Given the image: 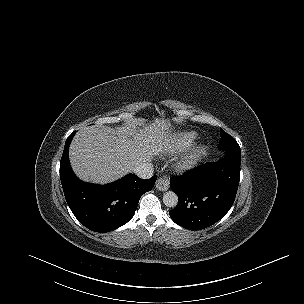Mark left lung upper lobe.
Here are the masks:
<instances>
[{"instance_id":"5c2ea615","label":"left lung upper lobe","mask_w":304,"mask_h":304,"mask_svg":"<svg viewBox=\"0 0 304 304\" xmlns=\"http://www.w3.org/2000/svg\"><path fill=\"white\" fill-rule=\"evenodd\" d=\"M220 142L218 145V148L220 150H229V149H234V150H239L240 146L238 145V143L234 140V138L232 136H230L229 134H227L224 130H220Z\"/></svg>"}]
</instances>
